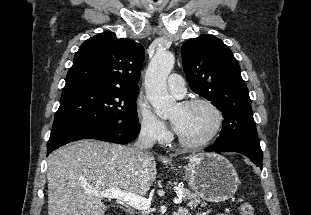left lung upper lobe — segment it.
I'll return each mask as SVG.
<instances>
[{
	"label": "left lung upper lobe",
	"instance_id": "left-lung-upper-lobe-1",
	"mask_svg": "<svg viewBox=\"0 0 311 215\" xmlns=\"http://www.w3.org/2000/svg\"><path fill=\"white\" fill-rule=\"evenodd\" d=\"M181 55L191 89L211 101L224 117L215 143L258 140L249 92L232 51L217 37L202 34L186 41Z\"/></svg>",
	"mask_w": 311,
	"mask_h": 215
}]
</instances>
